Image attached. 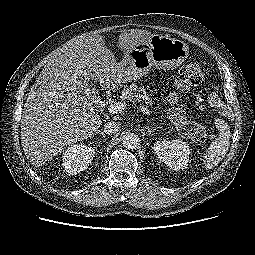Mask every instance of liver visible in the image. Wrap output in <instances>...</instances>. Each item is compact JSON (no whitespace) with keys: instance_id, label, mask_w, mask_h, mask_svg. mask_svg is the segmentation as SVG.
<instances>
[{"instance_id":"obj_1","label":"liver","mask_w":255,"mask_h":255,"mask_svg":"<svg viewBox=\"0 0 255 255\" xmlns=\"http://www.w3.org/2000/svg\"><path fill=\"white\" fill-rule=\"evenodd\" d=\"M151 35L141 29L123 31L118 47L123 53ZM119 65L100 34L73 38L54 53L32 86L21 119V143L33 166L98 131L101 118L78 89V78L104 83Z\"/></svg>"}]
</instances>
